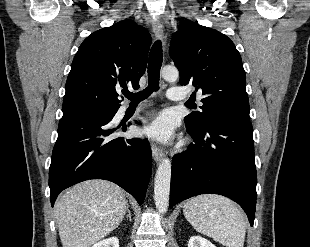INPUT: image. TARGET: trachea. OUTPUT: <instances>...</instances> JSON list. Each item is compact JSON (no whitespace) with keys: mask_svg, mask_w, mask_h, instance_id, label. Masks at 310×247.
<instances>
[{"mask_svg":"<svg viewBox=\"0 0 310 247\" xmlns=\"http://www.w3.org/2000/svg\"><path fill=\"white\" fill-rule=\"evenodd\" d=\"M163 62L161 41H156L150 51L148 64V87L138 93L124 92L131 103L138 104L142 100L148 98L152 92L159 89L160 69Z\"/></svg>","mask_w":310,"mask_h":247,"instance_id":"1","label":"trachea"}]
</instances>
